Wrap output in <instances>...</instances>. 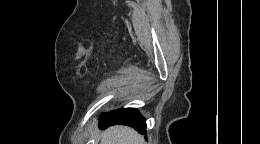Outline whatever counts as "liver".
Here are the masks:
<instances>
[{
    "label": "liver",
    "mask_w": 260,
    "mask_h": 144,
    "mask_svg": "<svg viewBox=\"0 0 260 144\" xmlns=\"http://www.w3.org/2000/svg\"><path fill=\"white\" fill-rule=\"evenodd\" d=\"M101 144H144V139L133 128L116 125L102 133Z\"/></svg>",
    "instance_id": "1"
}]
</instances>
